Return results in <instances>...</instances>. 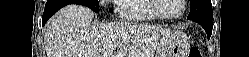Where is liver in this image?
I'll return each instance as SVG.
<instances>
[{
    "mask_svg": "<svg viewBox=\"0 0 249 57\" xmlns=\"http://www.w3.org/2000/svg\"><path fill=\"white\" fill-rule=\"evenodd\" d=\"M94 12L70 4L46 23L47 57H154L169 30L130 22L91 25ZM120 55V56H119Z\"/></svg>",
    "mask_w": 249,
    "mask_h": 57,
    "instance_id": "obj_1",
    "label": "liver"
}]
</instances>
